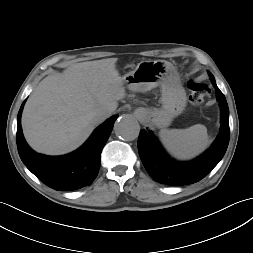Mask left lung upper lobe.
I'll return each instance as SVG.
<instances>
[{"label": "left lung upper lobe", "instance_id": "obj_1", "mask_svg": "<svg viewBox=\"0 0 253 253\" xmlns=\"http://www.w3.org/2000/svg\"><path fill=\"white\" fill-rule=\"evenodd\" d=\"M209 76H210V79H211L212 83H215L214 76L211 73H209Z\"/></svg>", "mask_w": 253, "mask_h": 253}]
</instances>
